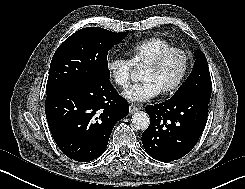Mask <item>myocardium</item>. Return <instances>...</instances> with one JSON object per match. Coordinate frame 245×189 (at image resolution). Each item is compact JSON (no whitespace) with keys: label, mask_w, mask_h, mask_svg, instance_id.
<instances>
[{"label":"myocardium","mask_w":245,"mask_h":189,"mask_svg":"<svg viewBox=\"0 0 245 189\" xmlns=\"http://www.w3.org/2000/svg\"><path fill=\"white\" fill-rule=\"evenodd\" d=\"M179 54L182 56L184 60V69L180 75V77L177 79L176 82H174L172 85L168 86L167 88L162 90L163 94H170L176 92L185 82L187 79L190 68H191V58L190 55L183 49L179 47H169L167 49H164L160 53H158L152 60H150L148 63H146L143 68L148 69H157L160 67L163 62L171 55V54Z\"/></svg>","instance_id":"obj_1"}]
</instances>
